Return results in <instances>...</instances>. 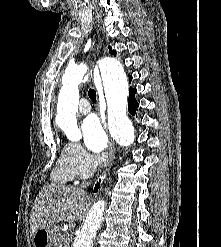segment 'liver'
I'll list each match as a JSON object with an SVG mask.
<instances>
[{
  "mask_svg": "<svg viewBox=\"0 0 221 247\" xmlns=\"http://www.w3.org/2000/svg\"><path fill=\"white\" fill-rule=\"evenodd\" d=\"M87 206V196L80 188L47 185L35 199L31 215V233L55 223H73Z\"/></svg>",
  "mask_w": 221,
  "mask_h": 247,
  "instance_id": "1",
  "label": "liver"
}]
</instances>
